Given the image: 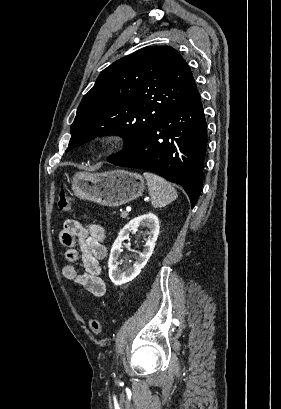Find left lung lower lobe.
I'll use <instances>...</instances> for the list:
<instances>
[{
  "instance_id": "obj_1",
  "label": "left lung lower lobe",
  "mask_w": 281,
  "mask_h": 409,
  "mask_svg": "<svg viewBox=\"0 0 281 409\" xmlns=\"http://www.w3.org/2000/svg\"><path fill=\"white\" fill-rule=\"evenodd\" d=\"M207 146V124L196 85L135 145L110 163L142 168L180 184L191 208L200 196Z\"/></svg>"
}]
</instances>
